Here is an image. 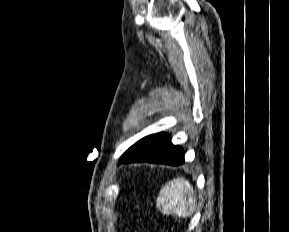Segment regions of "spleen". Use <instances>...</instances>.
<instances>
[{
  "instance_id": "1",
  "label": "spleen",
  "mask_w": 289,
  "mask_h": 232,
  "mask_svg": "<svg viewBox=\"0 0 289 232\" xmlns=\"http://www.w3.org/2000/svg\"><path fill=\"white\" fill-rule=\"evenodd\" d=\"M197 204L195 192L188 180L183 177L167 182L160 190L157 207L163 214L189 217Z\"/></svg>"
}]
</instances>
